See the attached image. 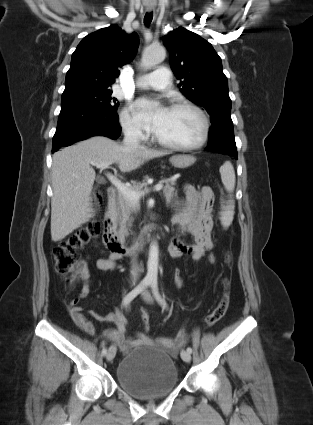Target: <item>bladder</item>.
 <instances>
[{"label": "bladder", "instance_id": "obj_1", "mask_svg": "<svg viewBox=\"0 0 313 425\" xmlns=\"http://www.w3.org/2000/svg\"><path fill=\"white\" fill-rule=\"evenodd\" d=\"M116 380L131 396L150 400L169 394L178 384V372L166 349L144 346L124 355Z\"/></svg>", "mask_w": 313, "mask_h": 425}]
</instances>
